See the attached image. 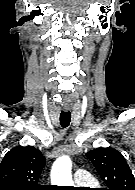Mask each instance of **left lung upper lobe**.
<instances>
[{
    "instance_id": "5c2ea615",
    "label": "left lung upper lobe",
    "mask_w": 135,
    "mask_h": 190,
    "mask_svg": "<svg viewBox=\"0 0 135 190\" xmlns=\"http://www.w3.org/2000/svg\"><path fill=\"white\" fill-rule=\"evenodd\" d=\"M103 181L105 190H135V178L124 156L113 148H96L86 154Z\"/></svg>"
}]
</instances>
